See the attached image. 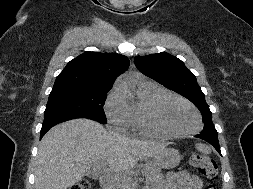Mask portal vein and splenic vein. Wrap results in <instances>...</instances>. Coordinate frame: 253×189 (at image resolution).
I'll return each instance as SVG.
<instances>
[{
	"label": "portal vein and splenic vein",
	"instance_id": "obj_1",
	"mask_svg": "<svg viewBox=\"0 0 253 189\" xmlns=\"http://www.w3.org/2000/svg\"><path fill=\"white\" fill-rule=\"evenodd\" d=\"M95 170H96V171H102V166H101V164H97Z\"/></svg>",
	"mask_w": 253,
	"mask_h": 189
}]
</instances>
